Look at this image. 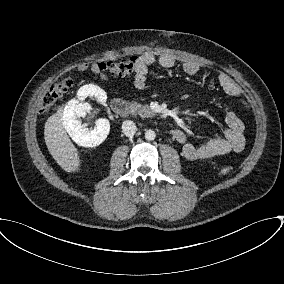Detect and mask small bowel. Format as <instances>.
Segmentation results:
<instances>
[{
	"mask_svg": "<svg viewBox=\"0 0 284 284\" xmlns=\"http://www.w3.org/2000/svg\"><path fill=\"white\" fill-rule=\"evenodd\" d=\"M174 56L168 53H145L141 55L135 64L134 86L137 89L144 88L147 80L149 67L158 63L164 68H171L176 64ZM91 69L92 72L99 75L103 81H107V76L98 67V64L83 65L80 70ZM185 74L196 75L200 66L194 61H186L182 64ZM218 84L223 91L230 96H239L240 89L234 80L227 74L218 76ZM226 127L219 133L213 135L208 141L194 145L188 143L186 135L180 130H174L172 135L174 139L182 144V153L190 161H210L225 154L239 153L245 147V138L243 135L244 124L241 118L229 107H225Z\"/></svg>",
	"mask_w": 284,
	"mask_h": 284,
	"instance_id": "obj_1",
	"label": "small bowel"
}]
</instances>
